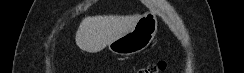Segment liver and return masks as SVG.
Here are the masks:
<instances>
[{"label":"liver","instance_id":"1","mask_svg":"<svg viewBox=\"0 0 244 73\" xmlns=\"http://www.w3.org/2000/svg\"><path fill=\"white\" fill-rule=\"evenodd\" d=\"M141 16H93L86 17L76 32L77 46L88 53L102 51L111 41L129 32Z\"/></svg>","mask_w":244,"mask_h":73}]
</instances>
